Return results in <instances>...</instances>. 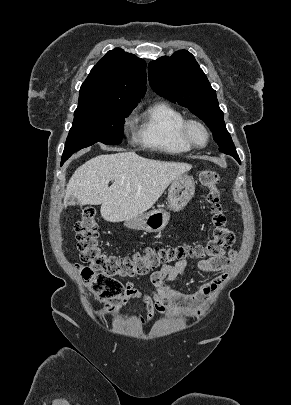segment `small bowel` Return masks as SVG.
Here are the masks:
<instances>
[{
  "label": "small bowel",
  "instance_id": "obj_1",
  "mask_svg": "<svg viewBox=\"0 0 291 405\" xmlns=\"http://www.w3.org/2000/svg\"><path fill=\"white\" fill-rule=\"evenodd\" d=\"M235 257L236 253L231 250L226 256L198 262L196 267L200 271L218 272L219 275L203 284L194 294H183L172 287V281L176 277L187 273V261L183 259L174 264H165L149 276L152 287L151 294L140 291L134 281H128L125 285V294L121 300V305L130 299H139L145 305L147 312L146 316H138L141 325L152 322L156 315L161 314L168 317L197 318L228 276L230 265Z\"/></svg>",
  "mask_w": 291,
  "mask_h": 405
}]
</instances>
